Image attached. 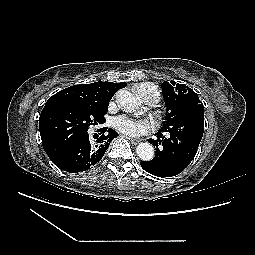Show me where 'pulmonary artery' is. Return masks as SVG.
<instances>
[{"instance_id": "1", "label": "pulmonary artery", "mask_w": 255, "mask_h": 255, "mask_svg": "<svg viewBox=\"0 0 255 255\" xmlns=\"http://www.w3.org/2000/svg\"><path fill=\"white\" fill-rule=\"evenodd\" d=\"M137 96L147 104H155L159 100L158 92L148 83H142L136 88Z\"/></svg>"}]
</instances>
